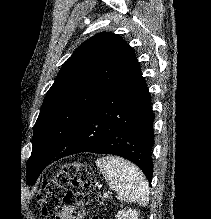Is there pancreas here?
<instances>
[{
  "label": "pancreas",
  "instance_id": "obj_1",
  "mask_svg": "<svg viewBox=\"0 0 211 219\" xmlns=\"http://www.w3.org/2000/svg\"><path fill=\"white\" fill-rule=\"evenodd\" d=\"M103 201H104V200H102V202H100V204H104Z\"/></svg>",
  "mask_w": 211,
  "mask_h": 219
}]
</instances>
